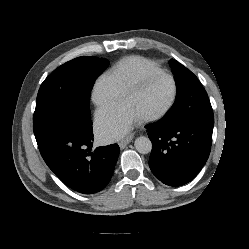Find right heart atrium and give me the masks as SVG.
<instances>
[{"label": "right heart atrium", "mask_w": 249, "mask_h": 249, "mask_svg": "<svg viewBox=\"0 0 249 249\" xmlns=\"http://www.w3.org/2000/svg\"><path fill=\"white\" fill-rule=\"evenodd\" d=\"M124 91L119 87L110 73L97 78L92 89V101L97 107H104L120 100Z\"/></svg>", "instance_id": "obj_1"}]
</instances>
